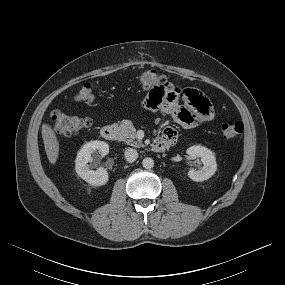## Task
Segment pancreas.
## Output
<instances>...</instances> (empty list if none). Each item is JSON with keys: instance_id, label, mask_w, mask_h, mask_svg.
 I'll return each mask as SVG.
<instances>
[{"instance_id": "pancreas-1", "label": "pancreas", "mask_w": 285, "mask_h": 285, "mask_svg": "<svg viewBox=\"0 0 285 285\" xmlns=\"http://www.w3.org/2000/svg\"><path fill=\"white\" fill-rule=\"evenodd\" d=\"M118 129L120 131V139L126 144L138 148L144 146L141 141L136 140V130L131 121H121Z\"/></svg>"}]
</instances>
